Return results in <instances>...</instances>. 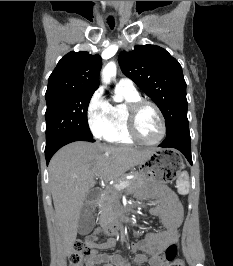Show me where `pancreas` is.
Returning <instances> with one entry per match:
<instances>
[{
	"label": "pancreas",
	"instance_id": "obj_1",
	"mask_svg": "<svg viewBox=\"0 0 233 266\" xmlns=\"http://www.w3.org/2000/svg\"><path fill=\"white\" fill-rule=\"evenodd\" d=\"M128 181L129 185L126 187L127 194H133L135 191L140 189L145 185L144 177L140 173H135L134 178L125 179L121 178L118 182ZM121 197V191L115 189L114 187L108 188L103 197L98 202L100 222L107 223L114 216L119 206V200Z\"/></svg>",
	"mask_w": 233,
	"mask_h": 266
}]
</instances>
